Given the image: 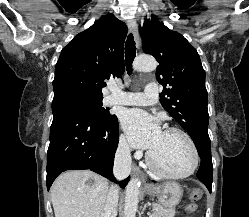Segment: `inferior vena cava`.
<instances>
[{
  "label": "inferior vena cava",
  "instance_id": "inferior-vena-cava-1",
  "mask_svg": "<svg viewBox=\"0 0 249 217\" xmlns=\"http://www.w3.org/2000/svg\"><path fill=\"white\" fill-rule=\"evenodd\" d=\"M131 172V154L130 148L125 141H121L118 145L113 174L118 180H123L129 176ZM119 198V188L117 185H111L107 195L103 217H116L117 204Z\"/></svg>",
  "mask_w": 249,
  "mask_h": 217
}]
</instances>
